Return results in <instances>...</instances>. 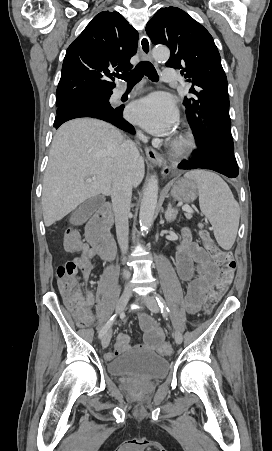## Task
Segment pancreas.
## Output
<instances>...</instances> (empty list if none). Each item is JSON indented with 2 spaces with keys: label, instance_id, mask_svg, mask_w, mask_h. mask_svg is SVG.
Listing matches in <instances>:
<instances>
[{
  "label": "pancreas",
  "instance_id": "pancreas-1",
  "mask_svg": "<svg viewBox=\"0 0 272 451\" xmlns=\"http://www.w3.org/2000/svg\"><path fill=\"white\" fill-rule=\"evenodd\" d=\"M185 218H187V220H191L192 218V214H184Z\"/></svg>",
  "mask_w": 272,
  "mask_h": 451
}]
</instances>
